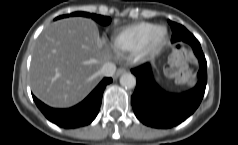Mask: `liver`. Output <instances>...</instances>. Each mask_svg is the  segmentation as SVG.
<instances>
[{
    "mask_svg": "<svg viewBox=\"0 0 238 145\" xmlns=\"http://www.w3.org/2000/svg\"><path fill=\"white\" fill-rule=\"evenodd\" d=\"M111 58L95 23L82 17L58 20L36 41L30 68L34 95L51 107L82 101L100 80L102 65Z\"/></svg>",
    "mask_w": 238,
    "mask_h": 145,
    "instance_id": "1",
    "label": "liver"
}]
</instances>
